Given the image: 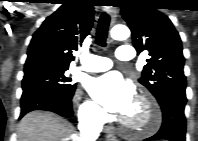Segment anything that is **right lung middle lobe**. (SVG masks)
<instances>
[{"label":"right lung middle lobe","mask_w":198,"mask_h":141,"mask_svg":"<svg viewBox=\"0 0 198 141\" xmlns=\"http://www.w3.org/2000/svg\"><path fill=\"white\" fill-rule=\"evenodd\" d=\"M68 68H40L24 73L23 90L30 88H46L63 95L74 94L76 84L71 83L65 72Z\"/></svg>","instance_id":"dd1d6c3e"}]
</instances>
